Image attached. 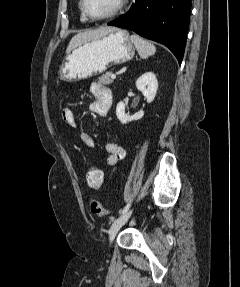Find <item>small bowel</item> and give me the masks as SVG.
Returning <instances> with one entry per match:
<instances>
[{
	"label": "small bowel",
	"mask_w": 240,
	"mask_h": 287,
	"mask_svg": "<svg viewBox=\"0 0 240 287\" xmlns=\"http://www.w3.org/2000/svg\"><path fill=\"white\" fill-rule=\"evenodd\" d=\"M90 92L95 99L90 103L89 109L99 116H106L113 102L111 90L102 83L94 82L90 86ZM61 118L67 125L73 128H77L79 125L76 115L69 108L65 107L61 110ZM80 139L86 147L93 148L95 146L93 137L86 131L80 133ZM105 151L107 153L105 162L109 166H115L126 156L125 149L115 142H107L105 144Z\"/></svg>",
	"instance_id": "obj_1"
}]
</instances>
